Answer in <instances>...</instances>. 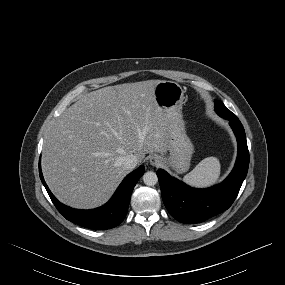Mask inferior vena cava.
Wrapping results in <instances>:
<instances>
[{"mask_svg": "<svg viewBox=\"0 0 285 285\" xmlns=\"http://www.w3.org/2000/svg\"><path fill=\"white\" fill-rule=\"evenodd\" d=\"M138 163L137 157L133 154L127 155L123 158V165L126 169L132 170Z\"/></svg>", "mask_w": 285, "mask_h": 285, "instance_id": "602c4592", "label": "inferior vena cava"}]
</instances>
